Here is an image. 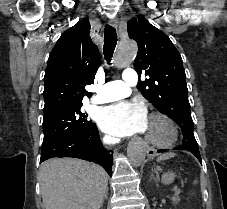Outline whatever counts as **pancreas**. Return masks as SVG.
Instances as JSON below:
<instances>
[{
	"instance_id": "pancreas-1",
	"label": "pancreas",
	"mask_w": 227,
	"mask_h": 209,
	"mask_svg": "<svg viewBox=\"0 0 227 209\" xmlns=\"http://www.w3.org/2000/svg\"><path fill=\"white\" fill-rule=\"evenodd\" d=\"M176 190H180V189H176ZM171 202H172V203H174L175 201H174V200H172Z\"/></svg>"
}]
</instances>
